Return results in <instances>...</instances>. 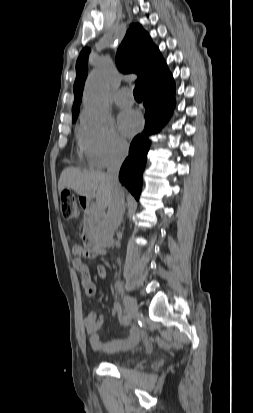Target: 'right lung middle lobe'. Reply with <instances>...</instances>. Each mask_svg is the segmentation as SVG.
Here are the masks:
<instances>
[{
    "mask_svg": "<svg viewBox=\"0 0 253 413\" xmlns=\"http://www.w3.org/2000/svg\"><path fill=\"white\" fill-rule=\"evenodd\" d=\"M76 119H77V118H74V119H73V122H75V121H76Z\"/></svg>",
    "mask_w": 253,
    "mask_h": 413,
    "instance_id": "dd1d6c3e",
    "label": "right lung middle lobe"
}]
</instances>
